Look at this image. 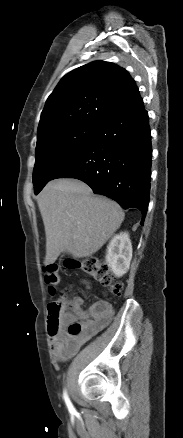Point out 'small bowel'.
Listing matches in <instances>:
<instances>
[{
	"instance_id": "c3829d8e",
	"label": "small bowel",
	"mask_w": 183,
	"mask_h": 438,
	"mask_svg": "<svg viewBox=\"0 0 183 438\" xmlns=\"http://www.w3.org/2000/svg\"><path fill=\"white\" fill-rule=\"evenodd\" d=\"M75 311L82 313L79 304ZM113 314V308L108 302H95L87 311L88 319L83 324V331L75 337L69 336L66 331L68 323L75 315L69 314L65 316L59 330L55 334H50L53 354L59 360L72 357L85 342L109 325Z\"/></svg>"
}]
</instances>
